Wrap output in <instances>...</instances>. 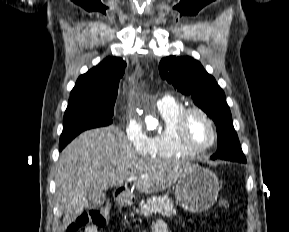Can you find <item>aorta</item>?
<instances>
[{
  "mask_svg": "<svg viewBox=\"0 0 289 232\" xmlns=\"http://www.w3.org/2000/svg\"><path fill=\"white\" fill-rule=\"evenodd\" d=\"M147 123H148V127L151 128V129H154V128H156L158 126V122L155 119L151 118V117H149L147 119Z\"/></svg>",
  "mask_w": 289,
  "mask_h": 232,
  "instance_id": "762f6f07",
  "label": "aorta"
}]
</instances>
